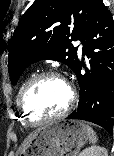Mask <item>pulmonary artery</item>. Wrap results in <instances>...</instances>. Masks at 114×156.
Masks as SVG:
<instances>
[{
  "label": "pulmonary artery",
  "instance_id": "obj_1",
  "mask_svg": "<svg viewBox=\"0 0 114 156\" xmlns=\"http://www.w3.org/2000/svg\"><path fill=\"white\" fill-rule=\"evenodd\" d=\"M77 45H78L79 52H82L83 51V45L81 44V42L78 41Z\"/></svg>",
  "mask_w": 114,
  "mask_h": 156
}]
</instances>
